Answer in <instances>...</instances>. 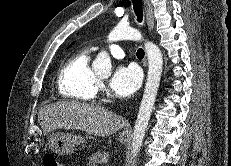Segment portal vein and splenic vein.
Returning <instances> with one entry per match:
<instances>
[{
	"instance_id": "18ae733b",
	"label": "portal vein and splenic vein",
	"mask_w": 231,
	"mask_h": 166,
	"mask_svg": "<svg viewBox=\"0 0 231 166\" xmlns=\"http://www.w3.org/2000/svg\"><path fill=\"white\" fill-rule=\"evenodd\" d=\"M107 161H108L107 158H104V159L102 160L103 163H107Z\"/></svg>"
}]
</instances>
